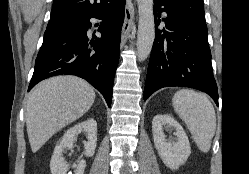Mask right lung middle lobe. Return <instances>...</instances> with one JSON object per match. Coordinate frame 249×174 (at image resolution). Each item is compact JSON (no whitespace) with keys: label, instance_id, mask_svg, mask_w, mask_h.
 I'll return each instance as SVG.
<instances>
[{"label":"right lung middle lobe","instance_id":"right-lung-middle-lobe-1","mask_svg":"<svg viewBox=\"0 0 249 174\" xmlns=\"http://www.w3.org/2000/svg\"><path fill=\"white\" fill-rule=\"evenodd\" d=\"M50 29H51V28H47V29H46L44 36L48 33V31H49Z\"/></svg>","mask_w":249,"mask_h":174}]
</instances>
